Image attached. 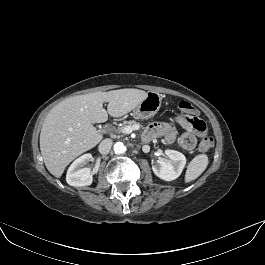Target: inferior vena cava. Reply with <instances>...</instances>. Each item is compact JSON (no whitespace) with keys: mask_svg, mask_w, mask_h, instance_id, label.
<instances>
[{"mask_svg":"<svg viewBox=\"0 0 265 265\" xmlns=\"http://www.w3.org/2000/svg\"><path fill=\"white\" fill-rule=\"evenodd\" d=\"M113 141L111 139H104L98 146L100 154L106 155L110 152Z\"/></svg>","mask_w":265,"mask_h":265,"instance_id":"1","label":"inferior vena cava"}]
</instances>
